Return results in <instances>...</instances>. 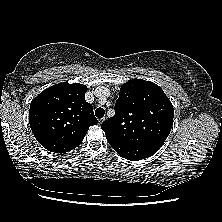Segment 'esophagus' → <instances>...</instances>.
I'll list each match as a JSON object with an SVG mask.
<instances>
[{
    "label": "esophagus",
    "mask_w": 222,
    "mask_h": 222,
    "mask_svg": "<svg viewBox=\"0 0 222 222\" xmlns=\"http://www.w3.org/2000/svg\"><path fill=\"white\" fill-rule=\"evenodd\" d=\"M104 120H105L104 117H103V118H100V119L98 120L99 124H101Z\"/></svg>",
    "instance_id": "34e87169"
}]
</instances>
